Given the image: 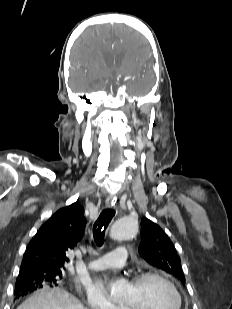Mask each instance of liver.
I'll list each match as a JSON object with an SVG mask.
<instances>
[{
  "label": "liver",
  "instance_id": "1",
  "mask_svg": "<svg viewBox=\"0 0 232 309\" xmlns=\"http://www.w3.org/2000/svg\"><path fill=\"white\" fill-rule=\"evenodd\" d=\"M17 309H87L81 302L59 288L45 287L25 300Z\"/></svg>",
  "mask_w": 232,
  "mask_h": 309
}]
</instances>
